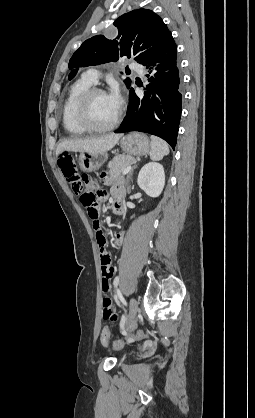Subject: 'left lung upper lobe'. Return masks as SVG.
I'll list each match as a JSON object with an SVG mask.
<instances>
[{
	"mask_svg": "<svg viewBox=\"0 0 255 418\" xmlns=\"http://www.w3.org/2000/svg\"><path fill=\"white\" fill-rule=\"evenodd\" d=\"M114 25L118 28V36L110 40L103 35L94 36L82 43L69 61L68 76L71 80L78 67L99 65L117 61L120 57H134L143 64L151 56L160 52L172 38L171 32L163 20L151 10L137 9L120 16ZM129 88L130 78L125 79Z\"/></svg>",
	"mask_w": 255,
	"mask_h": 418,
	"instance_id": "obj_1",
	"label": "left lung upper lobe"
}]
</instances>
